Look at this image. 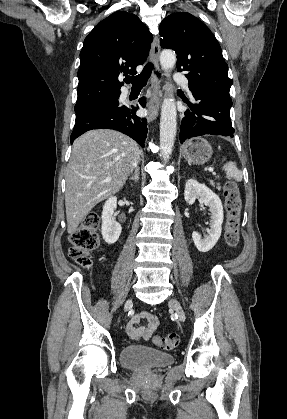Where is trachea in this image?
I'll list each match as a JSON object with an SVG mask.
<instances>
[{
    "label": "trachea",
    "mask_w": 287,
    "mask_h": 419,
    "mask_svg": "<svg viewBox=\"0 0 287 419\" xmlns=\"http://www.w3.org/2000/svg\"><path fill=\"white\" fill-rule=\"evenodd\" d=\"M152 70V63H148L139 75L135 77H126L125 82L131 83L133 85V88H142L146 85V82L150 77Z\"/></svg>",
    "instance_id": "trachea-1"
}]
</instances>
